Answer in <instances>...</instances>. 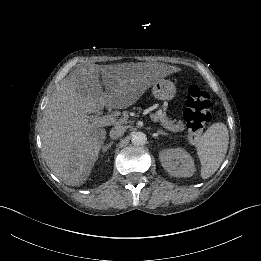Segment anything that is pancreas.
I'll return each instance as SVG.
<instances>
[{
    "mask_svg": "<svg viewBox=\"0 0 261 261\" xmlns=\"http://www.w3.org/2000/svg\"><path fill=\"white\" fill-rule=\"evenodd\" d=\"M164 110L160 109L156 111L153 115L158 119V122H160L161 126L169 131L172 132H179L183 131L185 129V125L183 121L179 120H170L166 115V107H163Z\"/></svg>",
    "mask_w": 261,
    "mask_h": 261,
    "instance_id": "pancreas-1",
    "label": "pancreas"
}]
</instances>
